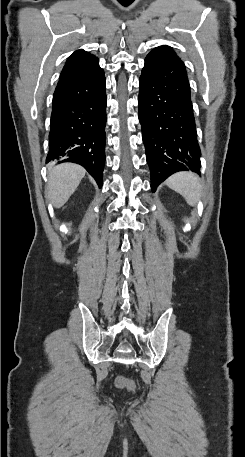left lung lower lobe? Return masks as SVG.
Returning <instances> with one entry per match:
<instances>
[{
    "instance_id": "left-lung-lower-lobe-1",
    "label": "left lung lower lobe",
    "mask_w": 245,
    "mask_h": 457,
    "mask_svg": "<svg viewBox=\"0 0 245 457\" xmlns=\"http://www.w3.org/2000/svg\"><path fill=\"white\" fill-rule=\"evenodd\" d=\"M139 121L151 188L178 171L200 173V147L184 62L169 46L152 50L139 80Z\"/></svg>"
}]
</instances>
